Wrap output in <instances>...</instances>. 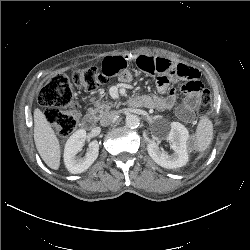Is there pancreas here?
Here are the masks:
<instances>
[{
  "mask_svg": "<svg viewBox=\"0 0 250 250\" xmlns=\"http://www.w3.org/2000/svg\"><path fill=\"white\" fill-rule=\"evenodd\" d=\"M112 107H118V104L112 103L110 101L104 103H98L94 108L90 109V112L93 114H98L101 117L105 112L109 111Z\"/></svg>",
  "mask_w": 250,
  "mask_h": 250,
  "instance_id": "pancreas-1",
  "label": "pancreas"
}]
</instances>
